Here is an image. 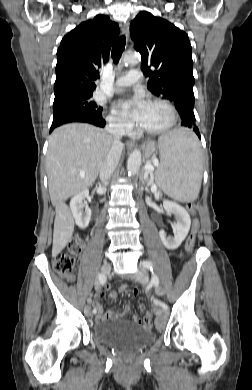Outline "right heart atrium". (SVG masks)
<instances>
[{"instance_id":"right-heart-atrium-1","label":"right heart atrium","mask_w":252,"mask_h":390,"mask_svg":"<svg viewBox=\"0 0 252 390\" xmlns=\"http://www.w3.org/2000/svg\"><path fill=\"white\" fill-rule=\"evenodd\" d=\"M109 126L122 132L128 133L132 130V125L125 118L119 115L116 111L112 110L107 116Z\"/></svg>"}]
</instances>
